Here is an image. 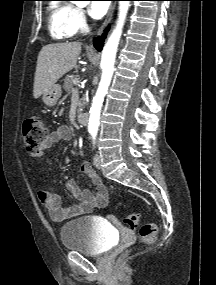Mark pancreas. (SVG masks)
<instances>
[{"instance_id":"1","label":"pancreas","mask_w":216,"mask_h":285,"mask_svg":"<svg viewBox=\"0 0 216 285\" xmlns=\"http://www.w3.org/2000/svg\"><path fill=\"white\" fill-rule=\"evenodd\" d=\"M74 79H78L76 75L74 74L66 75L64 79V84H63V88L66 90V92L70 93L73 90V85H74L73 80ZM85 102H86V98L83 97L78 113H80V109L84 107Z\"/></svg>"}]
</instances>
